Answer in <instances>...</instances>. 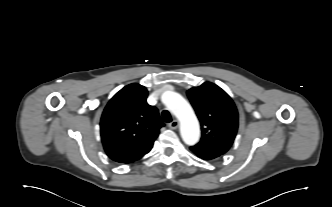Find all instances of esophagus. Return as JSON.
Instances as JSON below:
<instances>
[{
    "label": "esophagus",
    "instance_id": "1",
    "mask_svg": "<svg viewBox=\"0 0 332 207\" xmlns=\"http://www.w3.org/2000/svg\"><path fill=\"white\" fill-rule=\"evenodd\" d=\"M169 128L177 129L179 126V122L177 120H173L171 123L168 124Z\"/></svg>",
    "mask_w": 332,
    "mask_h": 207
}]
</instances>
